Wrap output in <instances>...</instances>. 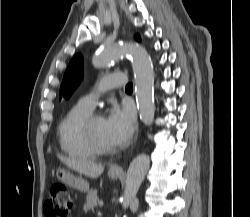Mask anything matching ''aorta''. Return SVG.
I'll list each match as a JSON object with an SVG mask.
<instances>
[{
    "mask_svg": "<svg viewBox=\"0 0 250 217\" xmlns=\"http://www.w3.org/2000/svg\"><path fill=\"white\" fill-rule=\"evenodd\" d=\"M129 56L132 61L135 77V93L140 118L145 125H151L154 120V70L153 63L145 48L138 44L106 45L93 57V64L97 68L106 66L109 62ZM149 157L146 154L138 155L131 162L125 180V191L122 199L126 209L136 196L146 171L149 168ZM125 217V216H124Z\"/></svg>",
    "mask_w": 250,
    "mask_h": 217,
    "instance_id": "obj_1",
    "label": "aorta"
}]
</instances>
